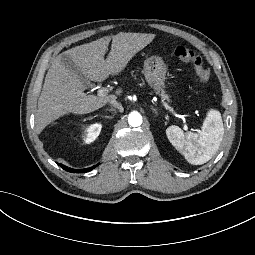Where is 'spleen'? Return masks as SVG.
<instances>
[{
	"label": "spleen",
	"instance_id": "spleen-1",
	"mask_svg": "<svg viewBox=\"0 0 255 255\" xmlns=\"http://www.w3.org/2000/svg\"><path fill=\"white\" fill-rule=\"evenodd\" d=\"M209 124L200 136L188 133L185 146V135L181 128L172 125L166 133L172 145L183 152L186 160L193 165H201L209 161L216 154L223 138L224 128L221 114L211 109L207 113Z\"/></svg>",
	"mask_w": 255,
	"mask_h": 255
}]
</instances>
